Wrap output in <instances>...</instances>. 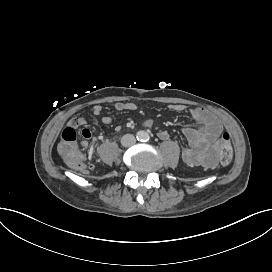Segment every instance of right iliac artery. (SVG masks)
Segmentation results:
<instances>
[{
    "instance_id": "right-iliac-artery-1",
    "label": "right iliac artery",
    "mask_w": 272,
    "mask_h": 272,
    "mask_svg": "<svg viewBox=\"0 0 272 272\" xmlns=\"http://www.w3.org/2000/svg\"><path fill=\"white\" fill-rule=\"evenodd\" d=\"M144 136H145V134H142V136H141V134H139V137L141 138V140L144 139Z\"/></svg>"
}]
</instances>
